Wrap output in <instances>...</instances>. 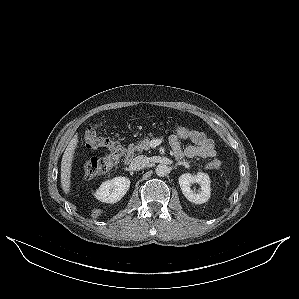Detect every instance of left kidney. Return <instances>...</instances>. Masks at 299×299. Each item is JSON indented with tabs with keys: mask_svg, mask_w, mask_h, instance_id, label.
<instances>
[{
	"mask_svg": "<svg viewBox=\"0 0 299 299\" xmlns=\"http://www.w3.org/2000/svg\"><path fill=\"white\" fill-rule=\"evenodd\" d=\"M191 183H198L200 185V191H198V193H194L191 190ZM179 185L183 195L190 202L202 204L207 202L210 198V178L206 173L198 172L196 175H192L190 173L182 174L179 177Z\"/></svg>",
	"mask_w": 299,
	"mask_h": 299,
	"instance_id": "left-kidney-1",
	"label": "left kidney"
}]
</instances>
